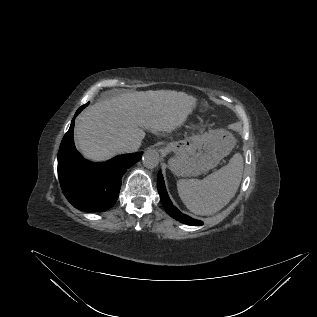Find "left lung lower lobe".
Instances as JSON below:
<instances>
[{"instance_id": "0a47b994", "label": "left lung lower lobe", "mask_w": 317, "mask_h": 317, "mask_svg": "<svg viewBox=\"0 0 317 317\" xmlns=\"http://www.w3.org/2000/svg\"><path fill=\"white\" fill-rule=\"evenodd\" d=\"M157 185H158V192L160 195V200L166 210V212L173 217L174 219L192 226H199L202 225V221H198L196 219H193L185 214H182L175 206H173L171 200L169 199V196L167 194V191L165 189L164 179L162 176L161 171L158 173L157 177Z\"/></svg>"}]
</instances>
